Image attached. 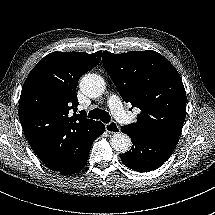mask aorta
<instances>
[{"label":"aorta","mask_w":215,"mask_h":215,"mask_svg":"<svg viewBox=\"0 0 215 215\" xmlns=\"http://www.w3.org/2000/svg\"><path fill=\"white\" fill-rule=\"evenodd\" d=\"M81 91L89 97H98L104 92V80L95 74L85 75L80 82ZM111 146L119 153H126L132 147L131 138L122 132L111 138Z\"/></svg>","instance_id":"obj_1"}]
</instances>
